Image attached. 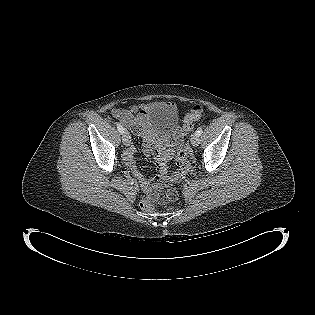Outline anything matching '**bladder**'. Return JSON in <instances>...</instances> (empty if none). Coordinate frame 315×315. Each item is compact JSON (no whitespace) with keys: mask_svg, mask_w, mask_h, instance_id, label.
Returning a JSON list of instances; mask_svg holds the SVG:
<instances>
[{"mask_svg":"<svg viewBox=\"0 0 315 315\" xmlns=\"http://www.w3.org/2000/svg\"><path fill=\"white\" fill-rule=\"evenodd\" d=\"M146 128L159 134L171 136L177 132L178 117L168 110L156 108L148 114Z\"/></svg>","mask_w":315,"mask_h":315,"instance_id":"bladder-1","label":"bladder"}]
</instances>
